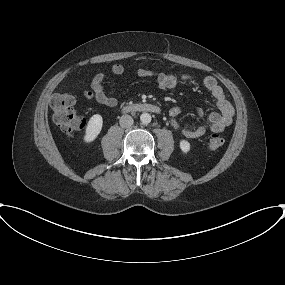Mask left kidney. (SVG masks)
<instances>
[{"instance_id": "5707ae66", "label": "left kidney", "mask_w": 285, "mask_h": 285, "mask_svg": "<svg viewBox=\"0 0 285 285\" xmlns=\"http://www.w3.org/2000/svg\"><path fill=\"white\" fill-rule=\"evenodd\" d=\"M180 149L183 153H188L190 151V143L187 140H181L179 143Z\"/></svg>"}]
</instances>
